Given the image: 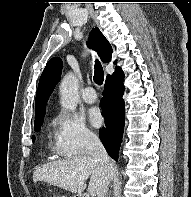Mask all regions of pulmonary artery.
<instances>
[{"label":"pulmonary artery","mask_w":191,"mask_h":197,"mask_svg":"<svg viewBox=\"0 0 191 197\" xmlns=\"http://www.w3.org/2000/svg\"><path fill=\"white\" fill-rule=\"evenodd\" d=\"M83 99L86 103L92 104L96 101L97 96L92 87L85 88L83 92Z\"/></svg>","instance_id":"1"}]
</instances>
